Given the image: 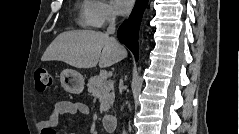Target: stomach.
<instances>
[{"instance_id": "1", "label": "stomach", "mask_w": 239, "mask_h": 134, "mask_svg": "<svg viewBox=\"0 0 239 134\" xmlns=\"http://www.w3.org/2000/svg\"><path fill=\"white\" fill-rule=\"evenodd\" d=\"M60 82L68 92L73 94H80L84 89V78L76 70H63L60 74Z\"/></svg>"}]
</instances>
